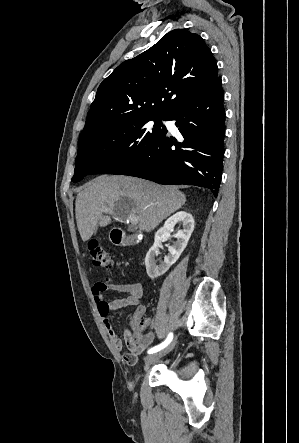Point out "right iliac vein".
Listing matches in <instances>:
<instances>
[{
  "label": "right iliac vein",
  "mask_w": 299,
  "mask_h": 443,
  "mask_svg": "<svg viewBox=\"0 0 299 443\" xmlns=\"http://www.w3.org/2000/svg\"><path fill=\"white\" fill-rule=\"evenodd\" d=\"M174 345H175V343H171V344H170L169 346H167L165 349H163V350H161V351H159V352H157V353H154V354H151V355L146 356V357H145V362H146L147 364H151V363H153V362L159 360L160 358H162V357H164L165 355H167L168 353H170V352L172 351V349L174 348Z\"/></svg>",
  "instance_id": "1"
}]
</instances>
